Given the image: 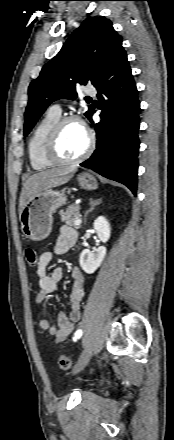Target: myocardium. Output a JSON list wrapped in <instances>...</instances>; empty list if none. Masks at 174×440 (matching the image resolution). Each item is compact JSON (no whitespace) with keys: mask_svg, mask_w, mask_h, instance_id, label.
Returning a JSON list of instances; mask_svg holds the SVG:
<instances>
[{"mask_svg":"<svg viewBox=\"0 0 174 440\" xmlns=\"http://www.w3.org/2000/svg\"><path fill=\"white\" fill-rule=\"evenodd\" d=\"M71 122H76L83 127L88 137V143L85 150L78 157L73 159H65L59 153L58 141L63 127ZM93 148H94L93 133L85 126L82 120L77 116H66L60 118L50 130L46 141L45 153H46V157L55 165H74L89 157V155L93 151Z\"/></svg>","mask_w":174,"mask_h":440,"instance_id":"f54148a6","label":"myocardium"}]
</instances>
